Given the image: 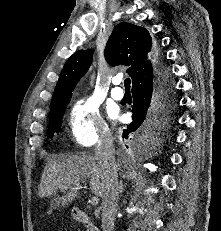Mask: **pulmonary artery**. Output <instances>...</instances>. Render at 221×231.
Instances as JSON below:
<instances>
[{"label": "pulmonary artery", "instance_id": "e3ab8cb5", "mask_svg": "<svg viewBox=\"0 0 221 231\" xmlns=\"http://www.w3.org/2000/svg\"><path fill=\"white\" fill-rule=\"evenodd\" d=\"M121 82V78L120 77H116L113 79V84L116 85V87H114L110 94H111V97L115 100H121L123 97H124V92L123 90L118 87V85L120 84Z\"/></svg>", "mask_w": 221, "mask_h": 231}]
</instances>
